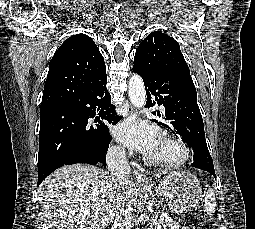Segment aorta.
Wrapping results in <instances>:
<instances>
[{
    "label": "aorta",
    "instance_id": "1",
    "mask_svg": "<svg viewBox=\"0 0 255 229\" xmlns=\"http://www.w3.org/2000/svg\"><path fill=\"white\" fill-rule=\"evenodd\" d=\"M128 95L131 103L136 108L144 107L146 104V92L142 78L138 74H133L129 79ZM147 229H154L149 223Z\"/></svg>",
    "mask_w": 255,
    "mask_h": 229
}]
</instances>
